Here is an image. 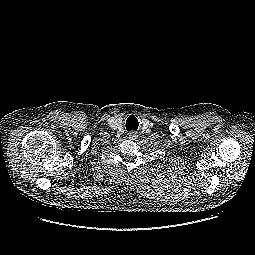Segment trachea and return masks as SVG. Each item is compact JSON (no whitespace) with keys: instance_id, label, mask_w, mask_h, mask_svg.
I'll use <instances>...</instances> for the list:
<instances>
[{"instance_id":"3493384b","label":"trachea","mask_w":255,"mask_h":255,"mask_svg":"<svg viewBox=\"0 0 255 255\" xmlns=\"http://www.w3.org/2000/svg\"><path fill=\"white\" fill-rule=\"evenodd\" d=\"M126 128H127V131L137 130L138 125L137 124H134V125L130 124L129 119H128V121L126 122Z\"/></svg>"}]
</instances>
